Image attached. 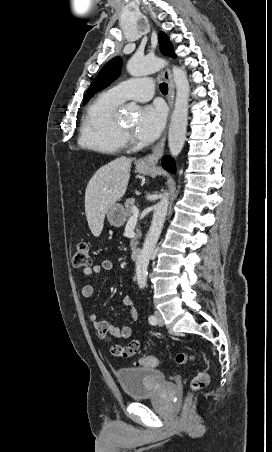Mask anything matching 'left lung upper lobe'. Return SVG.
<instances>
[{"label": "left lung upper lobe", "instance_id": "obj_1", "mask_svg": "<svg viewBox=\"0 0 272 452\" xmlns=\"http://www.w3.org/2000/svg\"><path fill=\"white\" fill-rule=\"evenodd\" d=\"M159 45L160 50L164 55H168L170 57H175L173 52L172 44L167 37V35L163 32L159 34ZM122 59L120 57H115L111 59L98 73L96 78L91 83L83 104L87 103L89 99L98 91L104 89L108 85H110L114 80H116L121 73Z\"/></svg>", "mask_w": 272, "mask_h": 452}]
</instances>
